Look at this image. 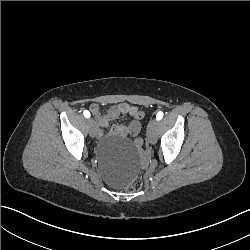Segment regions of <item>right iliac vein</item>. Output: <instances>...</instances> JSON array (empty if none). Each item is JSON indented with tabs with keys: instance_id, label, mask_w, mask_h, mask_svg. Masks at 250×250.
<instances>
[{
	"instance_id": "right-iliac-vein-1",
	"label": "right iliac vein",
	"mask_w": 250,
	"mask_h": 250,
	"mask_svg": "<svg viewBox=\"0 0 250 250\" xmlns=\"http://www.w3.org/2000/svg\"><path fill=\"white\" fill-rule=\"evenodd\" d=\"M87 125H88V128H89V134L92 138L95 137L96 135V130H97V124L96 122L90 118L87 120Z\"/></svg>"
}]
</instances>
